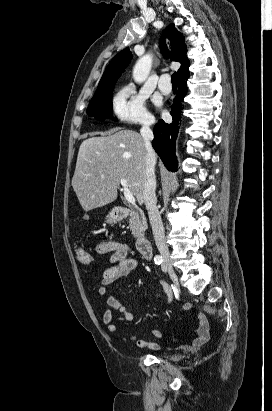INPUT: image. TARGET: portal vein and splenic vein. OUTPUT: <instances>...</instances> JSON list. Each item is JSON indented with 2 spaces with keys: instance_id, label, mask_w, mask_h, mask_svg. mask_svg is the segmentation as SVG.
<instances>
[{
  "instance_id": "obj_1",
  "label": "portal vein and splenic vein",
  "mask_w": 272,
  "mask_h": 411,
  "mask_svg": "<svg viewBox=\"0 0 272 411\" xmlns=\"http://www.w3.org/2000/svg\"><path fill=\"white\" fill-rule=\"evenodd\" d=\"M120 184L123 186V191H124V197L125 199L131 203V204H135V198L133 196V194L131 193V191L128 188L127 185V181L124 178L120 179Z\"/></svg>"
}]
</instances>
